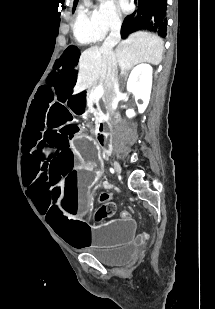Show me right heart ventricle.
<instances>
[{
	"label": "right heart ventricle",
	"mask_w": 215,
	"mask_h": 309,
	"mask_svg": "<svg viewBox=\"0 0 215 309\" xmlns=\"http://www.w3.org/2000/svg\"><path fill=\"white\" fill-rule=\"evenodd\" d=\"M92 14H80L79 19H74L73 32L78 43H86L88 38H95L96 34H102V27H96ZM114 44V43H111Z\"/></svg>",
	"instance_id": "right-heart-ventricle-1"
}]
</instances>
